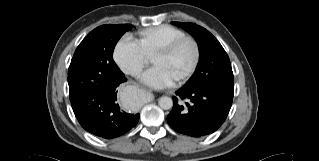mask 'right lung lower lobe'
Returning <instances> with one entry per match:
<instances>
[{
	"label": "right lung lower lobe",
	"instance_id": "obj_1",
	"mask_svg": "<svg viewBox=\"0 0 319 161\" xmlns=\"http://www.w3.org/2000/svg\"><path fill=\"white\" fill-rule=\"evenodd\" d=\"M125 81L121 72L112 81L98 84L71 101L75 116L86 131L111 139L136 126L139 114L126 113L117 102V87Z\"/></svg>",
	"mask_w": 319,
	"mask_h": 161
}]
</instances>
